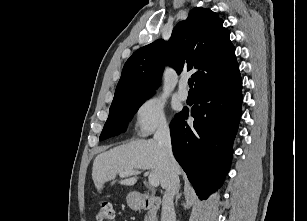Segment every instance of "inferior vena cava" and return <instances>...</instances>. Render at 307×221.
Here are the masks:
<instances>
[{"instance_id": "602c4592", "label": "inferior vena cava", "mask_w": 307, "mask_h": 221, "mask_svg": "<svg viewBox=\"0 0 307 221\" xmlns=\"http://www.w3.org/2000/svg\"><path fill=\"white\" fill-rule=\"evenodd\" d=\"M154 140L162 148L168 164V185L163 196L161 221H176L173 204L174 195L179 189L177 162L172 153L170 130L167 125L160 126L154 134Z\"/></svg>"}]
</instances>
